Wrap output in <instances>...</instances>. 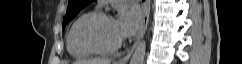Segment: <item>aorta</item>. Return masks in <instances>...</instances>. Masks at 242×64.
<instances>
[{"instance_id": "obj_1", "label": "aorta", "mask_w": 242, "mask_h": 64, "mask_svg": "<svg viewBox=\"0 0 242 64\" xmlns=\"http://www.w3.org/2000/svg\"><path fill=\"white\" fill-rule=\"evenodd\" d=\"M146 55V42L142 40L138 43L132 57L130 64H143Z\"/></svg>"}]
</instances>
